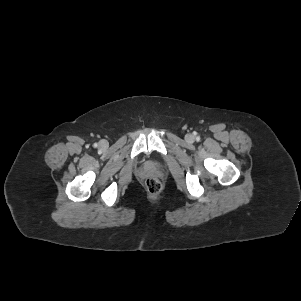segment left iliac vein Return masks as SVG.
I'll use <instances>...</instances> for the list:
<instances>
[{
  "mask_svg": "<svg viewBox=\"0 0 301 301\" xmlns=\"http://www.w3.org/2000/svg\"><path fill=\"white\" fill-rule=\"evenodd\" d=\"M186 140H187L188 142H193V141H194V136H193L192 134H187V135H186Z\"/></svg>",
  "mask_w": 301,
  "mask_h": 301,
  "instance_id": "4c4485c4",
  "label": "left iliac vein"
}]
</instances>
